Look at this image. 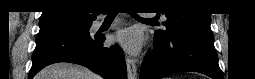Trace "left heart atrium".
I'll use <instances>...</instances> for the list:
<instances>
[{"mask_svg":"<svg viewBox=\"0 0 255 79\" xmlns=\"http://www.w3.org/2000/svg\"><path fill=\"white\" fill-rule=\"evenodd\" d=\"M112 41L131 55L138 54L142 48L141 34L134 28L118 31L113 36Z\"/></svg>","mask_w":255,"mask_h":79,"instance_id":"obj_1","label":"left heart atrium"}]
</instances>
